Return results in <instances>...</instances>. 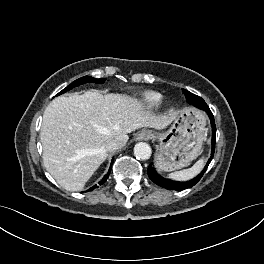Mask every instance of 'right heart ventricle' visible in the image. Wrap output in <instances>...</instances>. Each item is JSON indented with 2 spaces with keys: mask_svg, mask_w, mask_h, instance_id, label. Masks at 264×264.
<instances>
[{
  "mask_svg": "<svg viewBox=\"0 0 264 264\" xmlns=\"http://www.w3.org/2000/svg\"><path fill=\"white\" fill-rule=\"evenodd\" d=\"M161 94L155 91H145L139 97V103L144 107H154L161 101Z\"/></svg>",
  "mask_w": 264,
  "mask_h": 264,
  "instance_id": "e07e8e85",
  "label": "right heart ventricle"
}]
</instances>
